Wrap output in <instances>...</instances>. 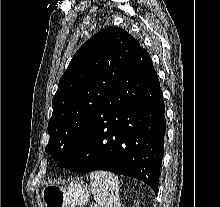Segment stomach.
Listing matches in <instances>:
<instances>
[{
  "mask_svg": "<svg viewBox=\"0 0 220 207\" xmlns=\"http://www.w3.org/2000/svg\"><path fill=\"white\" fill-rule=\"evenodd\" d=\"M91 187L82 181H71L67 186L47 185L41 197L45 207L84 206L90 196Z\"/></svg>",
  "mask_w": 220,
  "mask_h": 207,
  "instance_id": "1",
  "label": "stomach"
}]
</instances>
